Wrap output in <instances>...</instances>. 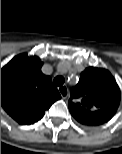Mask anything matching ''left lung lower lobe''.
Wrapping results in <instances>:
<instances>
[{
  "label": "left lung lower lobe",
  "mask_w": 122,
  "mask_h": 154,
  "mask_svg": "<svg viewBox=\"0 0 122 154\" xmlns=\"http://www.w3.org/2000/svg\"><path fill=\"white\" fill-rule=\"evenodd\" d=\"M103 113H104L103 117H101L98 120H95V124H92L90 126H96V125L103 124L107 122L108 120H110L112 116L115 114V112H112V111H103Z\"/></svg>",
  "instance_id": "left-lung-lower-lobe-1"
}]
</instances>
